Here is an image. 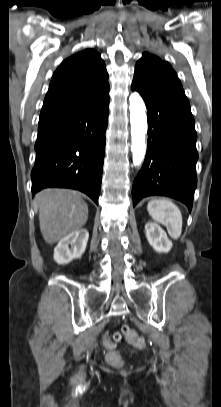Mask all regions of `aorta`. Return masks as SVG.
Returning <instances> with one entry per match:
<instances>
[{
    "label": "aorta",
    "instance_id": "762f6f07",
    "mask_svg": "<svg viewBox=\"0 0 221 407\" xmlns=\"http://www.w3.org/2000/svg\"><path fill=\"white\" fill-rule=\"evenodd\" d=\"M130 122H131V151L133 164L140 166L145 158L147 133L146 107L138 93L129 97Z\"/></svg>",
    "mask_w": 221,
    "mask_h": 407
}]
</instances>
